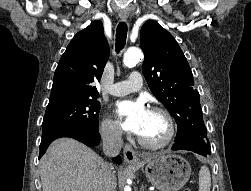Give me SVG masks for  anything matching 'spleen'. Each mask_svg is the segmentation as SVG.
Returning <instances> with one entry per match:
<instances>
[{
  "instance_id": "1",
  "label": "spleen",
  "mask_w": 251,
  "mask_h": 191,
  "mask_svg": "<svg viewBox=\"0 0 251 191\" xmlns=\"http://www.w3.org/2000/svg\"><path fill=\"white\" fill-rule=\"evenodd\" d=\"M211 173L207 165H202L199 171V191H210Z\"/></svg>"
}]
</instances>
